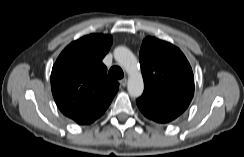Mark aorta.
<instances>
[{
  "label": "aorta",
  "instance_id": "1",
  "mask_svg": "<svg viewBox=\"0 0 244 157\" xmlns=\"http://www.w3.org/2000/svg\"><path fill=\"white\" fill-rule=\"evenodd\" d=\"M114 58L128 73L127 89L130 96H141L144 90V82L134 54L128 48L119 46L114 50Z\"/></svg>",
  "mask_w": 244,
  "mask_h": 157
}]
</instances>
